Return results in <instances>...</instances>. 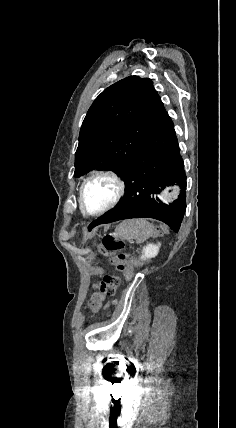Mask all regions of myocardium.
Segmentation results:
<instances>
[{
    "label": "myocardium",
    "mask_w": 236,
    "mask_h": 428,
    "mask_svg": "<svg viewBox=\"0 0 236 428\" xmlns=\"http://www.w3.org/2000/svg\"><path fill=\"white\" fill-rule=\"evenodd\" d=\"M97 179H108L111 182H113L115 185V194L113 198L110 200V202H108L102 208L97 210H89L86 206L85 198H84L85 188L87 187L88 184H90L91 182ZM126 189H127L126 182L124 181L122 176L116 171L111 169H102V170L95 171L92 174H90L87 178H85L80 185L78 196H79V204H80L81 210L85 214L90 216H97V215L104 214L105 212L112 210L118 205V203L124 197L126 193Z\"/></svg>",
    "instance_id": "1"
}]
</instances>
